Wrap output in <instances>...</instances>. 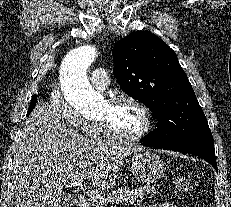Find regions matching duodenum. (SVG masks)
<instances>
[{
    "label": "duodenum",
    "instance_id": "1",
    "mask_svg": "<svg viewBox=\"0 0 231 207\" xmlns=\"http://www.w3.org/2000/svg\"><path fill=\"white\" fill-rule=\"evenodd\" d=\"M90 203L87 199L82 198L78 202V207H89Z\"/></svg>",
    "mask_w": 231,
    "mask_h": 207
}]
</instances>
